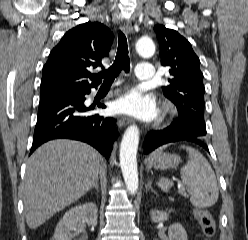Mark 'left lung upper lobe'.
Instances as JSON below:
<instances>
[{"label": "left lung upper lobe", "instance_id": "left-lung-upper-lobe-1", "mask_svg": "<svg viewBox=\"0 0 248 240\" xmlns=\"http://www.w3.org/2000/svg\"><path fill=\"white\" fill-rule=\"evenodd\" d=\"M154 30L160 44L161 64L170 67L172 76L168 80L169 85L163 87L165 97L178 110V118L172 124L191 127L204 136L205 88L199 67L200 60L189 41L177 31L164 25H156Z\"/></svg>", "mask_w": 248, "mask_h": 240}]
</instances>
